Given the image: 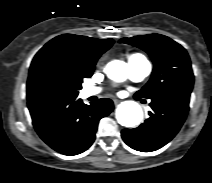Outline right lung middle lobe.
Returning a JSON list of instances; mask_svg holds the SVG:
<instances>
[{"instance_id": "right-lung-middle-lobe-1", "label": "right lung middle lobe", "mask_w": 212, "mask_h": 183, "mask_svg": "<svg viewBox=\"0 0 212 183\" xmlns=\"http://www.w3.org/2000/svg\"><path fill=\"white\" fill-rule=\"evenodd\" d=\"M91 75L92 72L83 73L56 56H48L33 72L28 90L36 98L53 95L74 98L81 89L83 79Z\"/></svg>"}]
</instances>
